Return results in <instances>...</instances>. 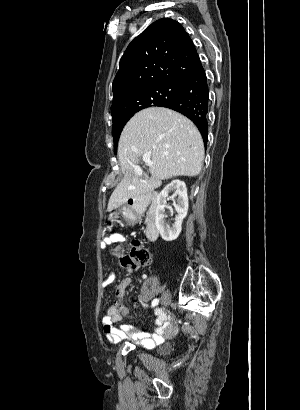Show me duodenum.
Wrapping results in <instances>:
<instances>
[{
	"label": "duodenum",
	"mask_w": 300,
	"mask_h": 410,
	"mask_svg": "<svg viewBox=\"0 0 300 410\" xmlns=\"http://www.w3.org/2000/svg\"><path fill=\"white\" fill-rule=\"evenodd\" d=\"M157 196L155 194L145 198H134L131 202V214L128 220L136 223L137 216L145 215V236L148 241L154 242L159 235L156 223Z\"/></svg>",
	"instance_id": "1"
}]
</instances>
